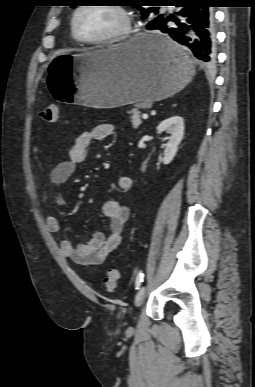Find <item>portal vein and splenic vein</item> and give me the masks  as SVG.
<instances>
[{"label":"portal vein and splenic vein","instance_id":"portal-vein-and-splenic-vein-1","mask_svg":"<svg viewBox=\"0 0 255 387\" xmlns=\"http://www.w3.org/2000/svg\"><path fill=\"white\" fill-rule=\"evenodd\" d=\"M142 118H143V119H148V115H147V114H143V115H142Z\"/></svg>","mask_w":255,"mask_h":387}]
</instances>
